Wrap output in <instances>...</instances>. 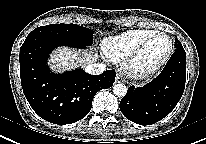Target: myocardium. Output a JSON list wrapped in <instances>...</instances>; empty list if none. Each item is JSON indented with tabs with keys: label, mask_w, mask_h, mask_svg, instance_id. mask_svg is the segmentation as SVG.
<instances>
[{
	"label": "myocardium",
	"mask_w": 206,
	"mask_h": 144,
	"mask_svg": "<svg viewBox=\"0 0 206 144\" xmlns=\"http://www.w3.org/2000/svg\"><path fill=\"white\" fill-rule=\"evenodd\" d=\"M158 36H164L169 41V48L165 56L159 60L157 63L151 66H142L140 63L141 57L145 52L148 45ZM173 41L172 38L164 32H155L152 35L148 36L139 46L125 59L124 68L127 74L133 78H146L156 72H158L170 59L173 53Z\"/></svg>",
	"instance_id": "obj_1"
}]
</instances>
